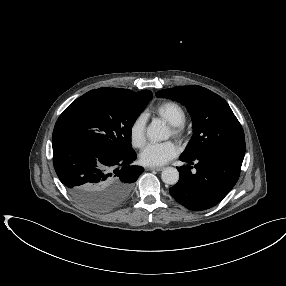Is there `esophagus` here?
Segmentation results:
<instances>
[{"label": "esophagus", "instance_id": "34e87169", "mask_svg": "<svg viewBox=\"0 0 286 286\" xmlns=\"http://www.w3.org/2000/svg\"><path fill=\"white\" fill-rule=\"evenodd\" d=\"M149 170L162 171L164 167H149Z\"/></svg>", "mask_w": 286, "mask_h": 286}]
</instances>
